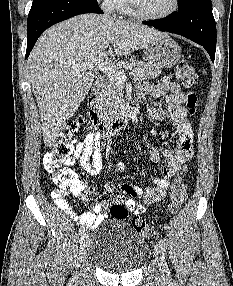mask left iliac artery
Here are the masks:
<instances>
[{"label":"left iliac artery","instance_id":"obj_1","mask_svg":"<svg viewBox=\"0 0 233 286\" xmlns=\"http://www.w3.org/2000/svg\"><path fill=\"white\" fill-rule=\"evenodd\" d=\"M159 245L161 246V248L164 251L166 250V244H165V240L163 238H159Z\"/></svg>","mask_w":233,"mask_h":286}]
</instances>
